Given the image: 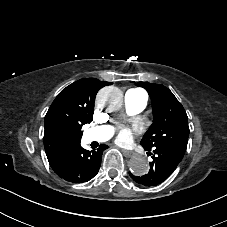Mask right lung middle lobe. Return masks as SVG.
Listing matches in <instances>:
<instances>
[{"mask_svg": "<svg viewBox=\"0 0 227 227\" xmlns=\"http://www.w3.org/2000/svg\"><path fill=\"white\" fill-rule=\"evenodd\" d=\"M93 106L79 101H66L60 104L46 123L48 133L67 137L79 142L82 137L81 128L93 120Z\"/></svg>", "mask_w": 227, "mask_h": 227, "instance_id": "obj_1", "label": "right lung middle lobe"}]
</instances>
